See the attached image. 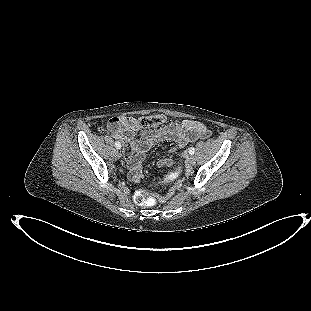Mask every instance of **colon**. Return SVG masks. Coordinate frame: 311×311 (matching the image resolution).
<instances>
[{
    "mask_svg": "<svg viewBox=\"0 0 311 311\" xmlns=\"http://www.w3.org/2000/svg\"><path fill=\"white\" fill-rule=\"evenodd\" d=\"M166 121L165 116L161 114H154L139 119V125L144 128L156 127L163 124ZM113 128H118V122L112 124ZM173 177V174H169L165 177L164 180H170ZM160 200L159 196L152 191H139L135 195V201L140 206L151 207L154 206Z\"/></svg>",
    "mask_w": 311,
    "mask_h": 311,
    "instance_id": "obj_1",
    "label": "colon"
}]
</instances>
